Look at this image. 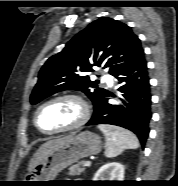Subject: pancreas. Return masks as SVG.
<instances>
[{"label": "pancreas", "instance_id": "pancreas-1", "mask_svg": "<svg viewBox=\"0 0 178 186\" xmlns=\"http://www.w3.org/2000/svg\"><path fill=\"white\" fill-rule=\"evenodd\" d=\"M84 161H81L77 163L76 165H73L69 168L68 175L75 176L80 175L81 173H84L85 167H84Z\"/></svg>", "mask_w": 178, "mask_h": 186}]
</instances>
